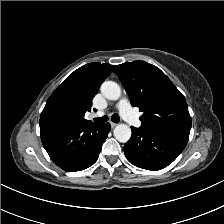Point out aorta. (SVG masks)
<instances>
[{
    "mask_svg": "<svg viewBox=\"0 0 224 224\" xmlns=\"http://www.w3.org/2000/svg\"><path fill=\"white\" fill-rule=\"evenodd\" d=\"M101 93L109 100H118L121 96V88L113 81H105L101 85ZM131 134V128L126 124H118L114 129V137L121 143L129 141Z\"/></svg>",
    "mask_w": 224,
    "mask_h": 224,
    "instance_id": "obj_1",
    "label": "aorta"
}]
</instances>
